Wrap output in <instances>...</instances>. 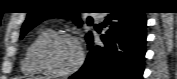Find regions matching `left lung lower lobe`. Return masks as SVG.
<instances>
[{"label":"left lung lower lobe","instance_id":"left-lung-lower-lobe-1","mask_svg":"<svg viewBox=\"0 0 177 79\" xmlns=\"http://www.w3.org/2000/svg\"><path fill=\"white\" fill-rule=\"evenodd\" d=\"M102 44L88 42L89 55L69 79H142L146 43L145 13L111 12L102 23Z\"/></svg>","mask_w":177,"mask_h":79}]
</instances>
